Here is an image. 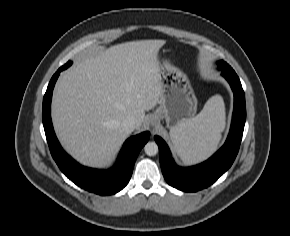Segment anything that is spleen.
I'll list each match as a JSON object with an SVG mask.
<instances>
[{
  "instance_id": "1",
  "label": "spleen",
  "mask_w": 290,
  "mask_h": 236,
  "mask_svg": "<svg viewBox=\"0 0 290 236\" xmlns=\"http://www.w3.org/2000/svg\"><path fill=\"white\" fill-rule=\"evenodd\" d=\"M225 128V106L220 95L212 96L202 111L170 130L175 151L186 164L200 162L216 149Z\"/></svg>"
}]
</instances>
